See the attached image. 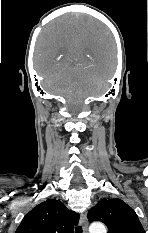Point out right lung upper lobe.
Returning a JSON list of instances; mask_svg holds the SVG:
<instances>
[{
	"label": "right lung upper lobe",
	"instance_id": "obj_1",
	"mask_svg": "<svg viewBox=\"0 0 148 233\" xmlns=\"http://www.w3.org/2000/svg\"><path fill=\"white\" fill-rule=\"evenodd\" d=\"M79 215L59 200L49 199L25 215L15 233H73Z\"/></svg>",
	"mask_w": 148,
	"mask_h": 233
}]
</instances>
